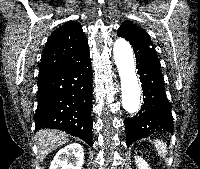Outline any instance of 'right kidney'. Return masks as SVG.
<instances>
[{
	"instance_id": "right-kidney-1",
	"label": "right kidney",
	"mask_w": 200,
	"mask_h": 169,
	"mask_svg": "<svg viewBox=\"0 0 200 169\" xmlns=\"http://www.w3.org/2000/svg\"><path fill=\"white\" fill-rule=\"evenodd\" d=\"M83 163V147L72 143L57 152L49 169H82Z\"/></svg>"
}]
</instances>
